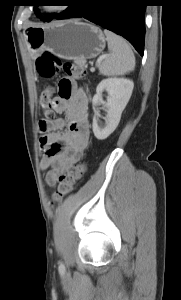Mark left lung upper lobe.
Here are the masks:
<instances>
[{"mask_svg":"<svg viewBox=\"0 0 181 300\" xmlns=\"http://www.w3.org/2000/svg\"><path fill=\"white\" fill-rule=\"evenodd\" d=\"M38 6H34V11H35V14L39 17V18H43L42 14L38 11L37 9ZM51 17H48L47 19L49 20Z\"/></svg>","mask_w":181,"mask_h":300,"instance_id":"left-lung-upper-lobe-1","label":"left lung upper lobe"}]
</instances>
